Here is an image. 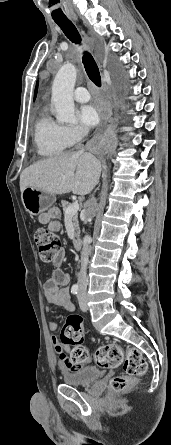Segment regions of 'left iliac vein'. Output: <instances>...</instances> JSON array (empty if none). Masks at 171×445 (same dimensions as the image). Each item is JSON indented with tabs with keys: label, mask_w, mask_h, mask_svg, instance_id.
<instances>
[{
	"label": "left iliac vein",
	"mask_w": 171,
	"mask_h": 445,
	"mask_svg": "<svg viewBox=\"0 0 171 445\" xmlns=\"http://www.w3.org/2000/svg\"><path fill=\"white\" fill-rule=\"evenodd\" d=\"M78 301H79L80 309H81L83 312H86L87 309H88V306H87V299H86L85 294H84L83 292H81V291L78 293Z\"/></svg>",
	"instance_id": "1"
}]
</instances>
